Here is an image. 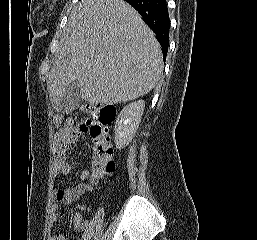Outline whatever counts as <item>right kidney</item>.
Wrapping results in <instances>:
<instances>
[{
	"label": "right kidney",
	"mask_w": 257,
	"mask_h": 240,
	"mask_svg": "<svg viewBox=\"0 0 257 240\" xmlns=\"http://www.w3.org/2000/svg\"><path fill=\"white\" fill-rule=\"evenodd\" d=\"M145 108L143 100L135 101L122 109L115 124V145L117 149L126 147L133 139Z\"/></svg>",
	"instance_id": "obj_1"
}]
</instances>
